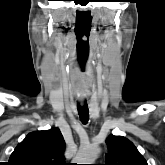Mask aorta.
Wrapping results in <instances>:
<instances>
[{"label":"aorta","mask_w":165,"mask_h":165,"mask_svg":"<svg viewBox=\"0 0 165 165\" xmlns=\"http://www.w3.org/2000/svg\"><path fill=\"white\" fill-rule=\"evenodd\" d=\"M99 154V148L97 146H88L79 149L74 158V163L77 164H94Z\"/></svg>","instance_id":"aorta-1"}]
</instances>
